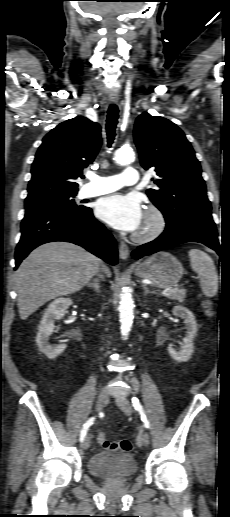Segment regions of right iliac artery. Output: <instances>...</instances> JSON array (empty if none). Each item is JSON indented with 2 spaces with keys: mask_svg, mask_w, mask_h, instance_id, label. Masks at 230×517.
<instances>
[{
  "mask_svg": "<svg viewBox=\"0 0 230 517\" xmlns=\"http://www.w3.org/2000/svg\"><path fill=\"white\" fill-rule=\"evenodd\" d=\"M95 421V417H91L89 420L86 421V423L83 425V428L81 430V433H80V441L83 442L86 434H87V431L89 429V427L93 424V422Z\"/></svg>",
  "mask_w": 230,
  "mask_h": 517,
  "instance_id": "1",
  "label": "right iliac artery"
}]
</instances>
